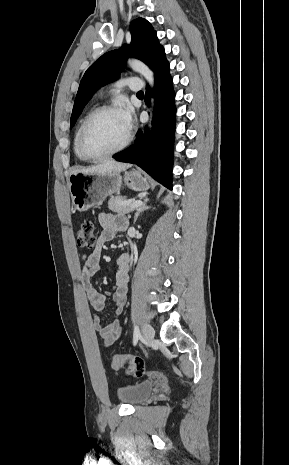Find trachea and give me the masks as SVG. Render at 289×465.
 <instances>
[{
    "mask_svg": "<svg viewBox=\"0 0 289 465\" xmlns=\"http://www.w3.org/2000/svg\"><path fill=\"white\" fill-rule=\"evenodd\" d=\"M137 95H138V96H143L144 93H143V91H139V92L137 93Z\"/></svg>",
    "mask_w": 289,
    "mask_h": 465,
    "instance_id": "1",
    "label": "trachea"
}]
</instances>
